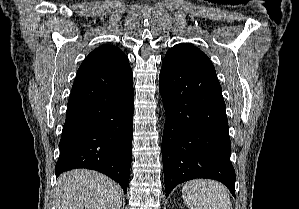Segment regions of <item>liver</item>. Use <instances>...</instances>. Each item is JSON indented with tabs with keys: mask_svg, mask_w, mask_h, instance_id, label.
Wrapping results in <instances>:
<instances>
[{
	"mask_svg": "<svg viewBox=\"0 0 299 209\" xmlns=\"http://www.w3.org/2000/svg\"><path fill=\"white\" fill-rule=\"evenodd\" d=\"M55 197L57 209H120L123 190L103 174L76 169L58 178Z\"/></svg>",
	"mask_w": 299,
	"mask_h": 209,
	"instance_id": "obj_1",
	"label": "liver"
}]
</instances>
